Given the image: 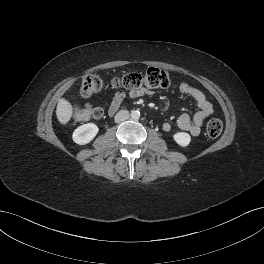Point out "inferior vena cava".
Returning <instances> with one entry per match:
<instances>
[{
	"instance_id": "602c4592",
	"label": "inferior vena cava",
	"mask_w": 264,
	"mask_h": 264,
	"mask_svg": "<svg viewBox=\"0 0 264 264\" xmlns=\"http://www.w3.org/2000/svg\"><path fill=\"white\" fill-rule=\"evenodd\" d=\"M130 114L129 111L127 110H120L116 115H115V122L116 123H120L123 122L125 120H127L129 118Z\"/></svg>"
}]
</instances>
